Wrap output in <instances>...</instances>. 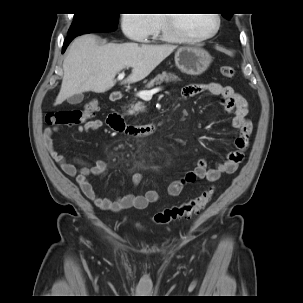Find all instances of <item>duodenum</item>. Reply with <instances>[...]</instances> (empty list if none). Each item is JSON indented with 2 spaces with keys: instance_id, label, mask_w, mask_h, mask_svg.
<instances>
[{
  "instance_id": "1",
  "label": "duodenum",
  "mask_w": 303,
  "mask_h": 303,
  "mask_svg": "<svg viewBox=\"0 0 303 303\" xmlns=\"http://www.w3.org/2000/svg\"><path fill=\"white\" fill-rule=\"evenodd\" d=\"M122 98L119 92H114L111 94V101L116 102ZM110 120L115 125V130L119 133H124L130 137L138 138L145 137L154 133L159 128L158 122H153L146 125H134L126 124L123 120L121 113L113 112L109 115Z\"/></svg>"
}]
</instances>
